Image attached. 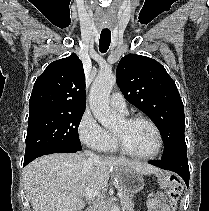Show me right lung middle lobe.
<instances>
[{
    "label": "right lung middle lobe",
    "instance_id": "dd1d6c3e",
    "mask_svg": "<svg viewBox=\"0 0 209 211\" xmlns=\"http://www.w3.org/2000/svg\"><path fill=\"white\" fill-rule=\"evenodd\" d=\"M84 112H39L29 114L24 163L48 151L71 148L81 150L78 126Z\"/></svg>",
    "mask_w": 209,
    "mask_h": 211
}]
</instances>
